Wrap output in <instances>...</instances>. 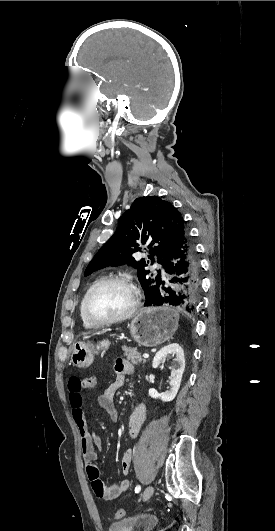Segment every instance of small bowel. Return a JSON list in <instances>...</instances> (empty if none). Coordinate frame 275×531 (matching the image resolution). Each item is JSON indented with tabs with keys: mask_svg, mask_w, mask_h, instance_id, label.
I'll list each match as a JSON object with an SVG mask.
<instances>
[{
	"mask_svg": "<svg viewBox=\"0 0 275 531\" xmlns=\"http://www.w3.org/2000/svg\"><path fill=\"white\" fill-rule=\"evenodd\" d=\"M114 370L116 377L98 396L97 404L106 411L111 421L117 422L119 413L114 404V397L125 385L126 377L135 373V367L128 360L117 358L114 361ZM67 380L69 384L66 389L70 394L69 403L71 406V415L78 428L81 451L86 462V474L90 480L91 488L97 498L104 501L114 500L129 489L130 481L125 478L118 484L107 486L100 479L99 470L95 462L97 460L98 450L101 449L102 441L87 425L81 395H75L81 392L82 388L80 383L82 376L80 373H69ZM146 416V405L144 403L138 404L129 419L128 433L130 437L135 438L139 435ZM133 456L134 452L130 448L124 450L121 455L120 468L124 475L129 474L131 470Z\"/></svg>",
	"mask_w": 275,
	"mask_h": 531,
	"instance_id": "c3829d8e",
	"label": "small bowel"
}]
</instances>
